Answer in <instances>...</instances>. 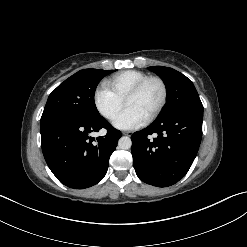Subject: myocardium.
<instances>
[{
	"label": "myocardium",
	"mask_w": 247,
	"mask_h": 247,
	"mask_svg": "<svg viewBox=\"0 0 247 247\" xmlns=\"http://www.w3.org/2000/svg\"><path fill=\"white\" fill-rule=\"evenodd\" d=\"M155 81L160 85L161 88V99L160 102L158 103V105L156 106V108L152 111V113L147 117V121H152L154 120L163 110V108L165 107L167 100H168V87L167 84L165 82V80L163 78H161L160 76H148L145 79L141 80L140 82H138L125 96L124 98V103L126 104V102L136 96L137 94H139L144 87L152 82Z\"/></svg>",
	"instance_id": "obj_1"
}]
</instances>
